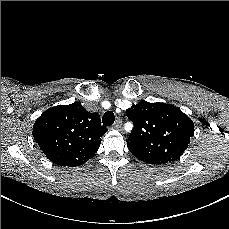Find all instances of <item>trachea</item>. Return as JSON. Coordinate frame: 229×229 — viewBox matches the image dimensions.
Here are the masks:
<instances>
[{
  "label": "trachea",
  "instance_id": "3493384b",
  "mask_svg": "<svg viewBox=\"0 0 229 229\" xmlns=\"http://www.w3.org/2000/svg\"><path fill=\"white\" fill-rule=\"evenodd\" d=\"M115 121V116L112 111H107L102 117V122L104 126H111Z\"/></svg>",
  "mask_w": 229,
  "mask_h": 229
}]
</instances>
